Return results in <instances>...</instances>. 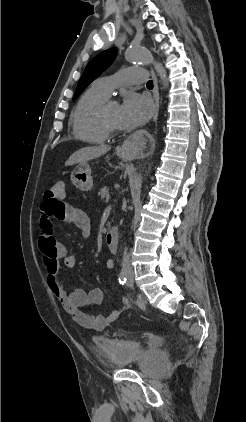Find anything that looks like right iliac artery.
<instances>
[{
    "label": "right iliac artery",
    "mask_w": 246,
    "mask_h": 422,
    "mask_svg": "<svg viewBox=\"0 0 246 422\" xmlns=\"http://www.w3.org/2000/svg\"><path fill=\"white\" fill-rule=\"evenodd\" d=\"M118 280H119V283L122 284V285L126 283L127 278H126V274H125L124 271L120 272Z\"/></svg>",
    "instance_id": "82829eb1"
}]
</instances>
